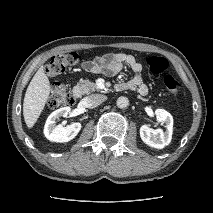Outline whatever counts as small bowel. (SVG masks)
<instances>
[{"label": "small bowel", "instance_id": "1", "mask_svg": "<svg viewBox=\"0 0 213 213\" xmlns=\"http://www.w3.org/2000/svg\"><path fill=\"white\" fill-rule=\"evenodd\" d=\"M124 66L130 67L135 75L128 81L119 82L116 88L118 90H133L141 95H146L148 87L141 76L142 65L133 55L125 53L108 54L82 63V68L88 72L104 73L109 76L118 74Z\"/></svg>", "mask_w": 213, "mask_h": 213}]
</instances>
